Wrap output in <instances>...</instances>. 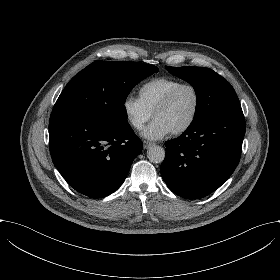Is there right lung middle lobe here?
<instances>
[{
  "label": "right lung middle lobe",
  "mask_w": 280,
  "mask_h": 280,
  "mask_svg": "<svg viewBox=\"0 0 280 280\" xmlns=\"http://www.w3.org/2000/svg\"><path fill=\"white\" fill-rule=\"evenodd\" d=\"M158 72L154 65L96 61L66 85L53 110H75L101 120L127 121L125 100L131 89Z\"/></svg>",
  "instance_id": "obj_1"
}]
</instances>
